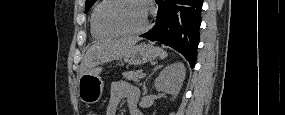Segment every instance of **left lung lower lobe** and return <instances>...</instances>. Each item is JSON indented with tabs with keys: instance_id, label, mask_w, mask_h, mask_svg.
Masks as SVG:
<instances>
[{
	"instance_id": "1",
	"label": "left lung lower lobe",
	"mask_w": 285,
	"mask_h": 115,
	"mask_svg": "<svg viewBox=\"0 0 285 115\" xmlns=\"http://www.w3.org/2000/svg\"><path fill=\"white\" fill-rule=\"evenodd\" d=\"M158 12L153 28L140 35L179 51L194 67L199 44L202 0H156Z\"/></svg>"
}]
</instances>
